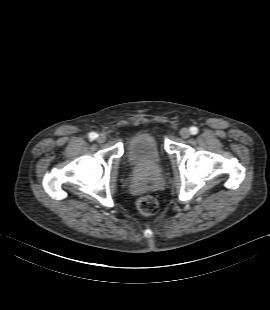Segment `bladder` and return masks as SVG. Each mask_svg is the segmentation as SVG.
I'll use <instances>...</instances> for the list:
<instances>
[{
	"instance_id": "1",
	"label": "bladder",
	"mask_w": 270,
	"mask_h": 310,
	"mask_svg": "<svg viewBox=\"0 0 270 310\" xmlns=\"http://www.w3.org/2000/svg\"><path fill=\"white\" fill-rule=\"evenodd\" d=\"M126 159L132 165L157 168L163 160V151L156 135L143 130L131 136L127 142Z\"/></svg>"
}]
</instances>
